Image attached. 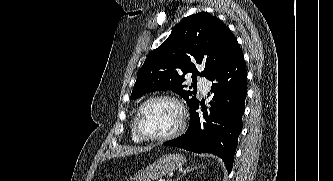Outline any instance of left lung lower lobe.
Instances as JSON below:
<instances>
[{
    "label": "left lung lower lobe",
    "mask_w": 333,
    "mask_h": 181,
    "mask_svg": "<svg viewBox=\"0 0 333 181\" xmlns=\"http://www.w3.org/2000/svg\"><path fill=\"white\" fill-rule=\"evenodd\" d=\"M211 92H216L210 102L214 109L203 114L201 121L196 110H190V124L186 133L177 139L163 143L196 153H213L219 156L231 172L238 136L242 130V115L247 93V71L244 56L238 47L232 56L209 78Z\"/></svg>",
    "instance_id": "0a47b994"
}]
</instances>
